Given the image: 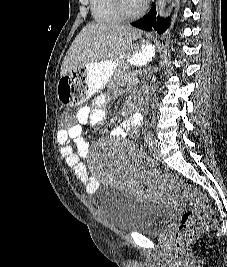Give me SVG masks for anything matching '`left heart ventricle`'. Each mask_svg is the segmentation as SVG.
Listing matches in <instances>:
<instances>
[{"mask_svg":"<svg viewBox=\"0 0 227 267\" xmlns=\"http://www.w3.org/2000/svg\"><path fill=\"white\" fill-rule=\"evenodd\" d=\"M124 3L127 9L131 11H134L140 7L135 0H124Z\"/></svg>","mask_w":227,"mask_h":267,"instance_id":"left-heart-ventricle-1","label":"left heart ventricle"}]
</instances>
